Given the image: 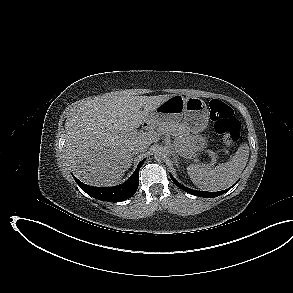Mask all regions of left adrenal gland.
Here are the masks:
<instances>
[{
  "mask_svg": "<svg viewBox=\"0 0 293 293\" xmlns=\"http://www.w3.org/2000/svg\"><path fill=\"white\" fill-rule=\"evenodd\" d=\"M172 156H173V159L175 160V163H177V159L179 158V156L177 155V153L175 151H172ZM178 166V164H177Z\"/></svg>",
  "mask_w": 293,
  "mask_h": 293,
  "instance_id": "left-adrenal-gland-1",
  "label": "left adrenal gland"
}]
</instances>
